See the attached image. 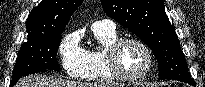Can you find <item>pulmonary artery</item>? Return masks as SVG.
Instances as JSON below:
<instances>
[{
	"label": "pulmonary artery",
	"mask_w": 205,
	"mask_h": 87,
	"mask_svg": "<svg viewBox=\"0 0 205 87\" xmlns=\"http://www.w3.org/2000/svg\"><path fill=\"white\" fill-rule=\"evenodd\" d=\"M92 28H100L107 30H115V25L110 20L96 21L92 24Z\"/></svg>",
	"instance_id": "pulmonary-artery-1"
}]
</instances>
